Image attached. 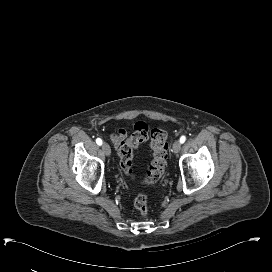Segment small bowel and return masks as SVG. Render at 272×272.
<instances>
[{
  "instance_id": "1",
  "label": "small bowel",
  "mask_w": 272,
  "mask_h": 272,
  "mask_svg": "<svg viewBox=\"0 0 272 272\" xmlns=\"http://www.w3.org/2000/svg\"><path fill=\"white\" fill-rule=\"evenodd\" d=\"M127 139V131L124 128H119L111 135V141L118 148L119 145Z\"/></svg>"
}]
</instances>
